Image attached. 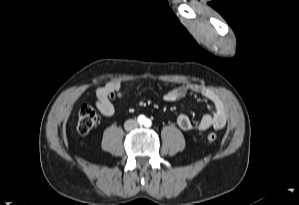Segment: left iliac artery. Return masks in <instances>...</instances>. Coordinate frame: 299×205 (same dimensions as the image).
Masks as SVG:
<instances>
[{
    "instance_id": "left-iliac-artery-1",
    "label": "left iliac artery",
    "mask_w": 299,
    "mask_h": 205,
    "mask_svg": "<svg viewBox=\"0 0 299 205\" xmlns=\"http://www.w3.org/2000/svg\"><path fill=\"white\" fill-rule=\"evenodd\" d=\"M144 124L146 127H150L152 123L149 119H147Z\"/></svg>"
}]
</instances>
